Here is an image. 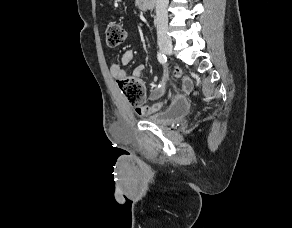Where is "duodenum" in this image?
<instances>
[{"instance_id":"duodenum-1","label":"duodenum","mask_w":292,"mask_h":228,"mask_svg":"<svg viewBox=\"0 0 292 228\" xmlns=\"http://www.w3.org/2000/svg\"><path fill=\"white\" fill-rule=\"evenodd\" d=\"M138 5L142 10H149L152 9L154 6L155 0H137Z\"/></svg>"}]
</instances>
